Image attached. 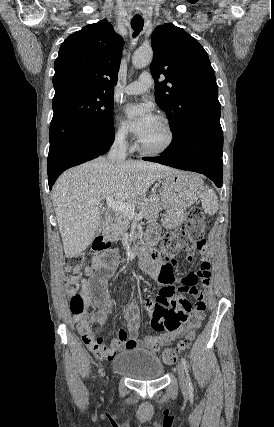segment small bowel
<instances>
[{
    "mask_svg": "<svg viewBox=\"0 0 274 427\" xmlns=\"http://www.w3.org/2000/svg\"><path fill=\"white\" fill-rule=\"evenodd\" d=\"M158 231L159 228L156 224L149 226L147 230L149 243L156 242ZM194 250L203 256L207 253L200 244H197ZM189 254H192V251H189ZM119 258V252L116 249L105 250L92 257L90 264L86 265L82 271L80 295L85 304V311L81 314H73V321L77 324L82 340L98 359L112 360L118 352L124 350H155L158 345H166L177 336H182L184 332L182 320H188L190 312L181 310H194V314H200L201 321L203 320L206 308L205 298L210 287V274L203 278L199 271H194L193 275H183L179 280L175 265L166 264L161 270L163 264L155 261L149 266L141 265V268L151 278L158 280L163 288L155 291L156 299H140L139 307L148 308L147 319L150 320L149 324L155 328L156 332L169 333L157 336L147 335L143 339H139L138 330L141 316L137 306L133 303L125 311L127 327L121 328L117 338L109 345L105 344L102 337L95 336L91 332L90 325L92 322L105 323L116 307L115 298L107 290V280L118 266ZM188 263L195 265L197 258L190 256ZM200 271L210 273V264H201ZM196 284H202L204 292H198ZM180 294H196V303L181 301ZM94 306L97 307V310L89 320L87 316ZM186 331H190L189 325Z\"/></svg>",
    "mask_w": 274,
    "mask_h": 427,
    "instance_id": "small-bowel-1",
    "label": "small bowel"
}]
</instances>
